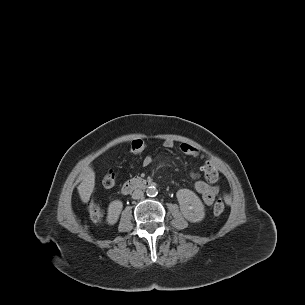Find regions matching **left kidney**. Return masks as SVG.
Returning a JSON list of instances; mask_svg holds the SVG:
<instances>
[{"label":"left kidney","mask_w":305,"mask_h":305,"mask_svg":"<svg viewBox=\"0 0 305 305\" xmlns=\"http://www.w3.org/2000/svg\"><path fill=\"white\" fill-rule=\"evenodd\" d=\"M181 213L189 222H200L205 217V206L196 193L189 189H180L176 193Z\"/></svg>","instance_id":"1"}]
</instances>
